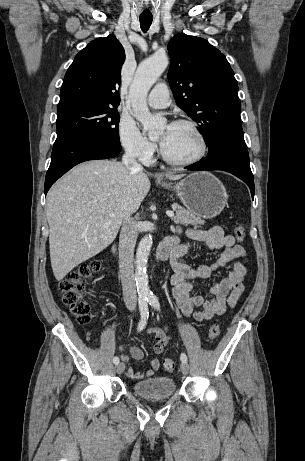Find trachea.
I'll list each match as a JSON object with an SVG mask.
<instances>
[{
  "instance_id": "trachea-1",
  "label": "trachea",
  "mask_w": 305,
  "mask_h": 461,
  "mask_svg": "<svg viewBox=\"0 0 305 461\" xmlns=\"http://www.w3.org/2000/svg\"><path fill=\"white\" fill-rule=\"evenodd\" d=\"M153 18L140 17V27L143 32H147L152 24Z\"/></svg>"
}]
</instances>
